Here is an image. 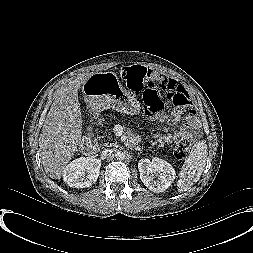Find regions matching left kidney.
Segmentation results:
<instances>
[{"label": "left kidney", "mask_w": 253, "mask_h": 253, "mask_svg": "<svg viewBox=\"0 0 253 253\" xmlns=\"http://www.w3.org/2000/svg\"><path fill=\"white\" fill-rule=\"evenodd\" d=\"M138 169L141 181L155 193L164 192L176 178L172 165L157 157L139 160Z\"/></svg>", "instance_id": "left-kidney-1"}]
</instances>
